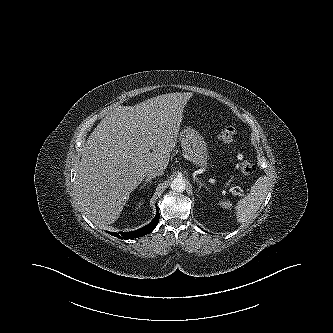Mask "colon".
Segmentation results:
<instances>
[{
    "instance_id": "1",
    "label": "colon",
    "mask_w": 333,
    "mask_h": 333,
    "mask_svg": "<svg viewBox=\"0 0 333 333\" xmlns=\"http://www.w3.org/2000/svg\"><path fill=\"white\" fill-rule=\"evenodd\" d=\"M237 130L233 126H226L221 133V139L225 144H232L236 138ZM237 169L241 174L247 177H251L255 171L256 167L253 162L239 158L237 162Z\"/></svg>"
}]
</instances>
